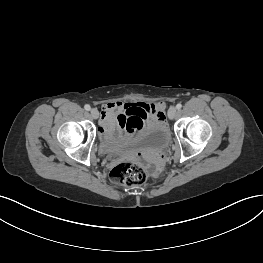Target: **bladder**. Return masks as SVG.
<instances>
[{"instance_id":"31cf9c89","label":"bladder","mask_w":263,"mask_h":263,"mask_svg":"<svg viewBox=\"0 0 263 263\" xmlns=\"http://www.w3.org/2000/svg\"><path fill=\"white\" fill-rule=\"evenodd\" d=\"M169 139L167 124L161 118L155 117L134 138L120 141L110 140L107 147L109 150H114L134 144L142 148H163L168 145Z\"/></svg>"}]
</instances>
